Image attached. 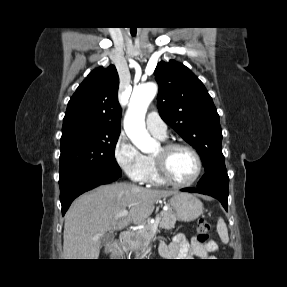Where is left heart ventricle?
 <instances>
[{
  "instance_id": "left-heart-ventricle-1",
  "label": "left heart ventricle",
  "mask_w": 287,
  "mask_h": 287,
  "mask_svg": "<svg viewBox=\"0 0 287 287\" xmlns=\"http://www.w3.org/2000/svg\"><path fill=\"white\" fill-rule=\"evenodd\" d=\"M161 154L162 150L160 147L154 155ZM166 165L172 178L178 182L191 180L197 170V163L194 156L185 149H177L171 152L166 157Z\"/></svg>"
}]
</instances>
